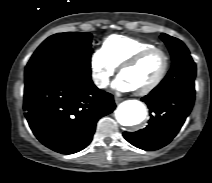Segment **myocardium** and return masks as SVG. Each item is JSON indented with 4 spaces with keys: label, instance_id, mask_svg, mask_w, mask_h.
I'll return each instance as SVG.
<instances>
[{
    "label": "myocardium",
    "instance_id": "f54148a6",
    "mask_svg": "<svg viewBox=\"0 0 212 183\" xmlns=\"http://www.w3.org/2000/svg\"><path fill=\"white\" fill-rule=\"evenodd\" d=\"M155 52H160L163 55L164 63H163L162 70L159 73V75L157 76V78L149 85H147L141 89H133V91L136 95L149 94L163 82V80L165 79V77L168 73L169 67H170V57H169L168 52L164 48H161V47H157V46L151 47V48L145 49V50L139 52L138 54H136L135 56L131 57L130 59L125 61L119 68V75H121L125 70L136 66L142 60H144L146 57H148L149 55H151L152 53H155Z\"/></svg>",
    "mask_w": 212,
    "mask_h": 183
}]
</instances>
